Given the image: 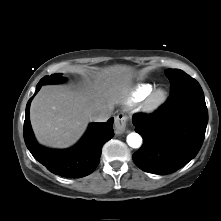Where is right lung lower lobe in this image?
<instances>
[{
  "label": "right lung lower lobe",
  "instance_id": "obj_1",
  "mask_svg": "<svg viewBox=\"0 0 221 221\" xmlns=\"http://www.w3.org/2000/svg\"><path fill=\"white\" fill-rule=\"evenodd\" d=\"M41 85L43 84L39 82L35 94ZM32 98L26 106L23 133L26 146L33 157L50 172L63 177L80 178L92 173L99 163L102 146L114 136L113 118L107 122L90 124L85 135L73 148L51 150L40 146L34 138L29 118Z\"/></svg>",
  "mask_w": 221,
  "mask_h": 221
}]
</instances>
